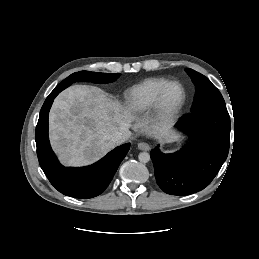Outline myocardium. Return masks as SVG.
I'll return each mask as SVG.
<instances>
[{"mask_svg": "<svg viewBox=\"0 0 259 259\" xmlns=\"http://www.w3.org/2000/svg\"><path fill=\"white\" fill-rule=\"evenodd\" d=\"M172 86H177L180 90V95L173 103H168L166 93ZM187 98V93L184 86L178 81H168L159 91L155 105L157 118L164 123L171 122L182 110Z\"/></svg>", "mask_w": 259, "mask_h": 259, "instance_id": "f54148a6", "label": "myocardium"}]
</instances>
